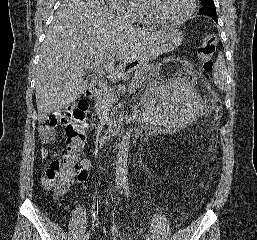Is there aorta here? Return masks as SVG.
Instances as JSON below:
<instances>
[{
    "instance_id": "obj_1",
    "label": "aorta",
    "mask_w": 257,
    "mask_h": 240,
    "mask_svg": "<svg viewBox=\"0 0 257 240\" xmlns=\"http://www.w3.org/2000/svg\"><path fill=\"white\" fill-rule=\"evenodd\" d=\"M131 130L126 131L123 135L121 145L119 147L116 163V177L120 181H126L128 172V152L130 144Z\"/></svg>"
}]
</instances>
